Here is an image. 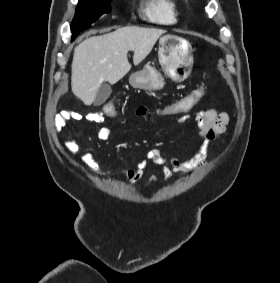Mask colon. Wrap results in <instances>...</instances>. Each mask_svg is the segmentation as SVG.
I'll return each instance as SVG.
<instances>
[{
	"mask_svg": "<svg viewBox=\"0 0 280 283\" xmlns=\"http://www.w3.org/2000/svg\"><path fill=\"white\" fill-rule=\"evenodd\" d=\"M207 94L206 87L200 84L199 87H194V90L188 91V94H183V97L174 99L173 103H166L159 107V111L156 112L157 116H166L167 119H171L172 116H180L181 112H194L196 105L199 102H203L204 95ZM117 105L121 103H103V116H111L112 119H119L123 115L122 111H117ZM74 113L73 111L61 113L58 116V120L64 119L65 122L69 120V114ZM132 119L136 118L135 114L131 115ZM144 119H151V114H144Z\"/></svg>",
	"mask_w": 280,
	"mask_h": 283,
	"instance_id": "obj_1",
	"label": "colon"
}]
</instances>
